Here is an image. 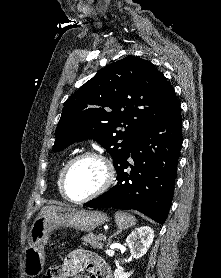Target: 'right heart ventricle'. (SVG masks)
Segmentation results:
<instances>
[{
	"label": "right heart ventricle",
	"instance_id": "obj_1",
	"mask_svg": "<svg viewBox=\"0 0 221 278\" xmlns=\"http://www.w3.org/2000/svg\"><path fill=\"white\" fill-rule=\"evenodd\" d=\"M65 166V163H63L59 169V172H58V177H57V184H58V188H59V191L61 192L60 190V178H61V173H62V170Z\"/></svg>",
	"mask_w": 221,
	"mask_h": 278
}]
</instances>
